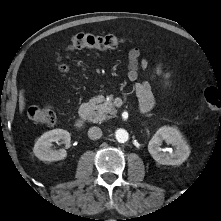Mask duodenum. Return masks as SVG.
Here are the masks:
<instances>
[{
  "label": "duodenum",
  "instance_id": "1",
  "mask_svg": "<svg viewBox=\"0 0 221 221\" xmlns=\"http://www.w3.org/2000/svg\"><path fill=\"white\" fill-rule=\"evenodd\" d=\"M91 114V106L88 103H84L80 106L79 115L74 123L76 130H81L85 126V122Z\"/></svg>",
  "mask_w": 221,
  "mask_h": 221
}]
</instances>
